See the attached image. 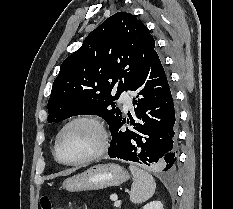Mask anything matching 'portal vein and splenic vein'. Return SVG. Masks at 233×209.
<instances>
[{
	"mask_svg": "<svg viewBox=\"0 0 233 209\" xmlns=\"http://www.w3.org/2000/svg\"><path fill=\"white\" fill-rule=\"evenodd\" d=\"M110 199L112 200V201H115V206L116 207H118L119 206V203L117 202V195H115V194H112L111 196H110Z\"/></svg>",
	"mask_w": 233,
	"mask_h": 209,
	"instance_id": "1",
	"label": "portal vein and splenic vein"
}]
</instances>
